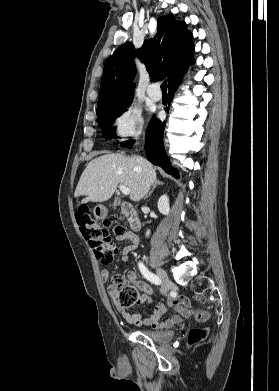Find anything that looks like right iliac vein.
<instances>
[{"mask_svg":"<svg viewBox=\"0 0 279 391\" xmlns=\"http://www.w3.org/2000/svg\"><path fill=\"white\" fill-rule=\"evenodd\" d=\"M157 274L162 281V293L167 294L171 287V281L163 269L157 268Z\"/></svg>","mask_w":279,"mask_h":391,"instance_id":"1","label":"right iliac vein"}]
</instances>
